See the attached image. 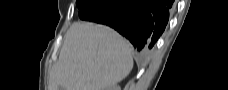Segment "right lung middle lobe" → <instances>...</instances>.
Here are the masks:
<instances>
[{
    "instance_id": "1",
    "label": "right lung middle lobe",
    "mask_w": 228,
    "mask_h": 90,
    "mask_svg": "<svg viewBox=\"0 0 228 90\" xmlns=\"http://www.w3.org/2000/svg\"><path fill=\"white\" fill-rule=\"evenodd\" d=\"M102 0H77L76 5L79 8V17H82L89 8L98 7Z\"/></svg>"
}]
</instances>
